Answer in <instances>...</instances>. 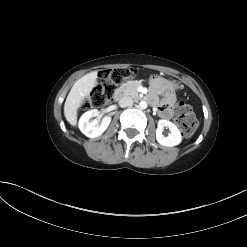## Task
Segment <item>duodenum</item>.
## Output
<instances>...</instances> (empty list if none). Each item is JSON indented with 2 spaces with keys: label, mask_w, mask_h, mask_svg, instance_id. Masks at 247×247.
I'll return each mask as SVG.
<instances>
[{
  "label": "duodenum",
  "mask_w": 247,
  "mask_h": 247,
  "mask_svg": "<svg viewBox=\"0 0 247 247\" xmlns=\"http://www.w3.org/2000/svg\"><path fill=\"white\" fill-rule=\"evenodd\" d=\"M117 90H118V91H117L118 94H117L116 99H117V100H120V99L124 96V91H123V89H122L121 86H118V87H117ZM147 100L150 101L148 97H147Z\"/></svg>",
  "instance_id": "obj_1"
}]
</instances>
